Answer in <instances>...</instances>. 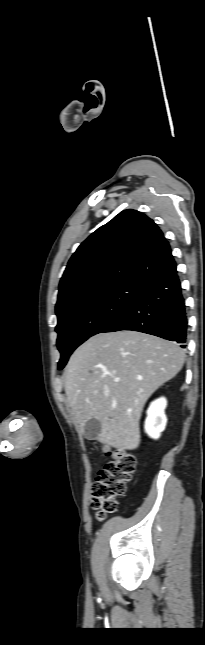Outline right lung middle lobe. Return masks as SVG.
Instances as JSON below:
<instances>
[{
    "label": "right lung middle lobe",
    "mask_w": 205,
    "mask_h": 645,
    "mask_svg": "<svg viewBox=\"0 0 205 645\" xmlns=\"http://www.w3.org/2000/svg\"><path fill=\"white\" fill-rule=\"evenodd\" d=\"M138 284H123L111 290L81 298L57 314V347L61 353L58 369L89 337L100 333L137 299Z\"/></svg>",
    "instance_id": "dd1d6c3e"
}]
</instances>
